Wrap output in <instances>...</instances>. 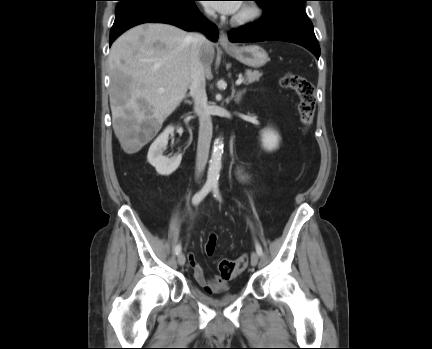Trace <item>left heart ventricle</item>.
Masks as SVG:
<instances>
[{"mask_svg": "<svg viewBox=\"0 0 432 349\" xmlns=\"http://www.w3.org/2000/svg\"><path fill=\"white\" fill-rule=\"evenodd\" d=\"M243 12V7H241L240 9H239V11L237 12V14H240V13H242Z\"/></svg>", "mask_w": 432, "mask_h": 349, "instance_id": "b2bd125f", "label": "left heart ventricle"}]
</instances>
